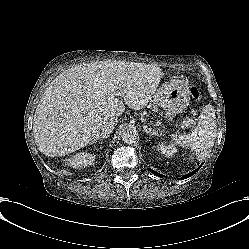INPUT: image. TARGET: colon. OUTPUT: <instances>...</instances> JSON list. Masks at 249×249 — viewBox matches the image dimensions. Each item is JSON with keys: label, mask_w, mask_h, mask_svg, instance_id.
<instances>
[{"label": "colon", "mask_w": 249, "mask_h": 249, "mask_svg": "<svg viewBox=\"0 0 249 249\" xmlns=\"http://www.w3.org/2000/svg\"><path fill=\"white\" fill-rule=\"evenodd\" d=\"M191 95L195 98V99H199L200 98V92L197 88L193 87L191 88Z\"/></svg>", "instance_id": "5ec220e1"}]
</instances>
